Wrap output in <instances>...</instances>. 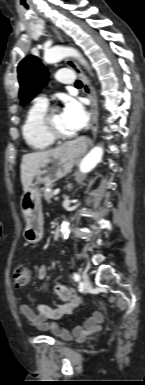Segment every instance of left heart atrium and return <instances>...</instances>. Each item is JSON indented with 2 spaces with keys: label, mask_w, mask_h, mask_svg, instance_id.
Masks as SVG:
<instances>
[{
  "label": "left heart atrium",
  "mask_w": 145,
  "mask_h": 385,
  "mask_svg": "<svg viewBox=\"0 0 145 385\" xmlns=\"http://www.w3.org/2000/svg\"><path fill=\"white\" fill-rule=\"evenodd\" d=\"M63 119L72 131H79L83 129L88 122V114L80 101L69 98L65 101L62 110Z\"/></svg>",
  "instance_id": "1"
}]
</instances>
